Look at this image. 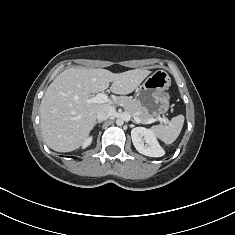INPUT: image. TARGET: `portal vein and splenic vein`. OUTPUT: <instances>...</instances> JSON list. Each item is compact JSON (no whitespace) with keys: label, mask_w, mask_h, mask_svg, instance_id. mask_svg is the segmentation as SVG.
I'll return each mask as SVG.
<instances>
[{"label":"portal vein and splenic vein","mask_w":235,"mask_h":235,"mask_svg":"<svg viewBox=\"0 0 235 235\" xmlns=\"http://www.w3.org/2000/svg\"><path fill=\"white\" fill-rule=\"evenodd\" d=\"M89 102L90 103L102 104V103L110 102V99H108L106 94L99 93L96 96L90 98ZM134 120L137 123H144V124H151V123H154L155 121H160V122H164V123H168L169 122V120L167 118H161V117H158V118H155V119H149V120H147L145 122H142L138 117H134Z\"/></svg>","instance_id":"portal-vein-and-splenic-vein-1"}]
</instances>
